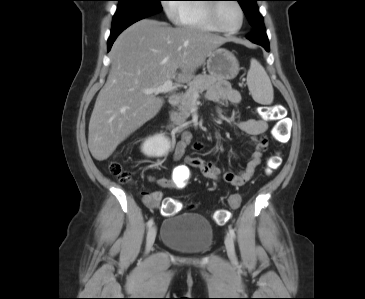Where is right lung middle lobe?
<instances>
[{"label": "right lung middle lobe", "mask_w": 365, "mask_h": 299, "mask_svg": "<svg viewBox=\"0 0 365 299\" xmlns=\"http://www.w3.org/2000/svg\"><path fill=\"white\" fill-rule=\"evenodd\" d=\"M119 1L113 22L128 18L146 17L162 10L161 0H117Z\"/></svg>", "instance_id": "right-lung-middle-lobe-1"}]
</instances>
